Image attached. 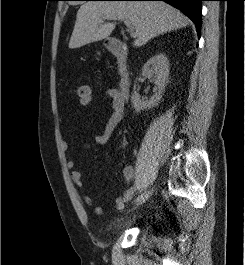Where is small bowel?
I'll return each mask as SVG.
<instances>
[{"instance_id":"c3829d8e","label":"small bowel","mask_w":245,"mask_h":265,"mask_svg":"<svg viewBox=\"0 0 245 265\" xmlns=\"http://www.w3.org/2000/svg\"><path fill=\"white\" fill-rule=\"evenodd\" d=\"M103 95L110 100L111 103V114L110 117L104 126V128L97 134L95 137V142L97 144H104L106 143L109 138L111 137L112 133L114 132L117 125L121 122L124 117L125 113V98H123L119 91L115 88H107L104 90ZM92 103V102H91ZM88 104L86 107L91 105ZM87 148L90 145H86ZM62 148L64 151H67L69 148V144L64 141L62 143ZM67 167L71 169V178L77 188L83 189L84 188V176L85 173L81 169L75 168V161L70 159L67 161ZM123 176L127 182H130L134 177V169L132 166H126L123 169ZM136 189L134 186H130L127 188L121 196L116 199V203H126L133 198L135 195ZM84 203L89 206H93L94 202L93 199L89 195H83L82 197ZM102 208L100 206H94L93 212L96 215L102 214Z\"/></svg>"}]
</instances>
